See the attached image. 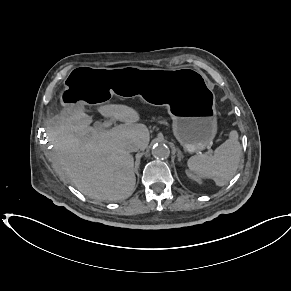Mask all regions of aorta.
<instances>
[{
  "label": "aorta",
  "instance_id": "obj_1",
  "mask_svg": "<svg viewBox=\"0 0 291 291\" xmlns=\"http://www.w3.org/2000/svg\"><path fill=\"white\" fill-rule=\"evenodd\" d=\"M152 155L158 159H166L170 155V149L165 144H157L152 148Z\"/></svg>",
  "mask_w": 291,
  "mask_h": 291
}]
</instances>
